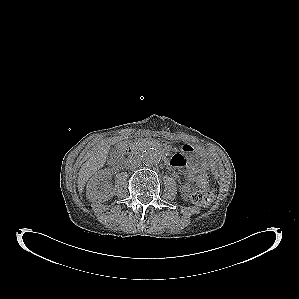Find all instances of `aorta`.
<instances>
[{"label": "aorta", "mask_w": 299, "mask_h": 299, "mask_svg": "<svg viewBox=\"0 0 299 299\" xmlns=\"http://www.w3.org/2000/svg\"><path fill=\"white\" fill-rule=\"evenodd\" d=\"M161 154L156 148H148L142 155V161L147 165H156L160 162Z\"/></svg>", "instance_id": "aorta-1"}]
</instances>
